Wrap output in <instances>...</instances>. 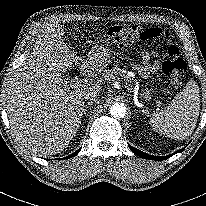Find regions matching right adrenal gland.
Here are the masks:
<instances>
[{
	"mask_svg": "<svg viewBox=\"0 0 206 206\" xmlns=\"http://www.w3.org/2000/svg\"><path fill=\"white\" fill-rule=\"evenodd\" d=\"M92 105H93V104H92L91 101L88 102V103L85 105V107H84L83 113L89 115V114H90V111L92 110V107H93ZM88 110H89V112L86 113Z\"/></svg>",
	"mask_w": 206,
	"mask_h": 206,
	"instance_id": "1",
	"label": "right adrenal gland"
}]
</instances>
